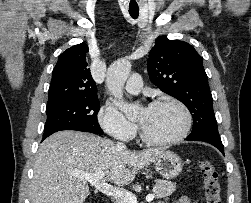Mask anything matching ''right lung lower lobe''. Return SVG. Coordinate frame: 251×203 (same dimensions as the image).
<instances>
[{
	"mask_svg": "<svg viewBox=\"0 0 251 203\" xmlns=\"http://www.w3.org/2000/svg\"><path fill=\"white\" fill-rule=\"evenodd\" d=\"M64 130H77V131L89 132V131H87V130H85V129L78 128V127H71V128L64 129ZM57 131H61V130H54V131H50V132L44 133V135H43V140H44L45 138H47L48 136H50L51 134L57 132Z\"/></svg>",
	"mask_w": 251,
	"mask_h": 203,
	"instance_id": "98d812e1",
	"label": "right lung lower lobe"
}]
</instances>
